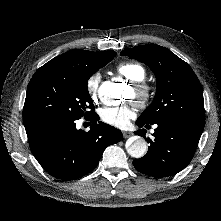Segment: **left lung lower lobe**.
<instances>
[{
	"instance_id": "0a47b994",
	"label": "left lung lower lobe",
	"mask_w": 221,
	"mask_h": 221,
	"mask_svg": "<svg viewBox=\"0 0 221 221\" xmlns=\"http://www.w3.org/2000/svg\"><path fill=\"white\" fill-rule=\"evenodd\" d=\"M139 127L150 126L148 123L136 121ZM153 134L148 138L150 146L146 155L133 161L134 167L141 173L166 177L178 173L191 161L203 128L173 121L158 122ZM153 125V124H151ZM145 138V129L135 132Z\"/></svg>"
}]
</instances>
